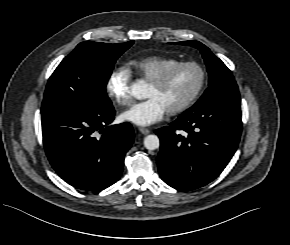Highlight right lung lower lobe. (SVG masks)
<instances>
[{
	"label": "right lung lower lobe",
	"instance_id": "obj_1",
	"mask_svg": "<svg viewBox=\"0 0 290 245\" xmlns=\"http://www.w3.org/2000/svg\"><path fill=\"white\" fill-rule=\"evenodd\" d=\"M114 116L113 106L42 116L46 155L62 179L78 189L99 191L120 178L134 132L129 123L110 125Z\"/></svg>",
	"mask_w": 290,
	"mask_h": 245
}]
</instances>
